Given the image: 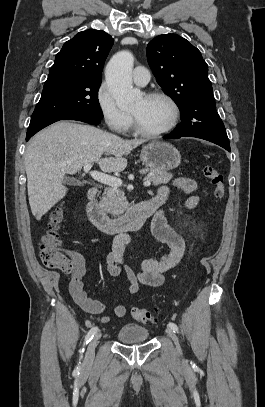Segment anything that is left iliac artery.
Wrapping results in <instances>:
<instances>
[{
    "label": "left iliac artery",
    "mask_w": 265,
    "mask_h": 407,
    "mask_svg": "<svg viewBox=\"0 0 265 407\" xmlns=\"http://www.w3.org/2000/svg\"><path fill=\"white\" fill-rule=\"evenodd\" d=\"M168 327L171 328L174 332H178V327L175 323L169 322Z\"/></svg>",
    "instance_id": "44dca946"
}]
</instances>
